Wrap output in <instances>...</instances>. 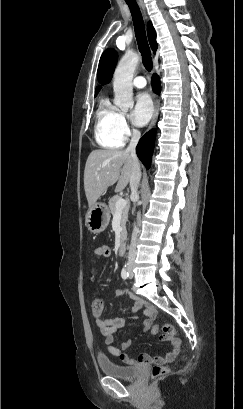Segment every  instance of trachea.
Returning a JSON list of instances; mask_svg holds the SVG:
<instances>
[{
    "label": "trachea",
    "instance_id": "trachea-1",
    "mask_svg": "<svg viewBox=\"0 0 243 409\" xmlns=\"http://www.w3.org/2000/svg\"><path fill=\"white\" fill-rule=\"evenodd\" d=\"M126 3L128 4L131 14H132L136 40H137L139 51L142 56L144 67L148 71H151L152 69L151 51L148 45L146 32H145V25L143 22V18H142L140 9L135 1L130 2L126 0Z\"/></svg>",
    "mask_w": 243,
    "mask_h": 409
}]
</instances>
